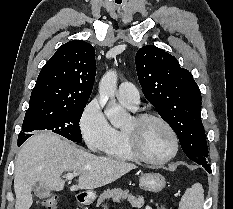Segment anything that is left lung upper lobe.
<instances>
[{"mask_svg": "<svg viewBox=\"0 0 233 209\" xmlns=\"http://www.w3.org/2000/svg\"><path fill=\"white\" fill-rule=\"evenodd\" d=\"M135 63L145 97L173 128L184 153L199 165L207 164L201 92L192 74L174 56L153 45L139 49Z\"/></svg>", "mask_w": 233, "mask_h": 209, "instance_id": "5c2ea615", "label": "left lung upper lobe"}]
</instances>
